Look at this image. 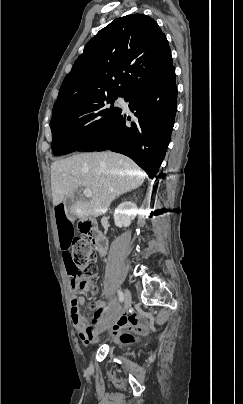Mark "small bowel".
<instances>
[{
	"mask_svg": "<svg viewBox=\"0 0 243 404\" xmlns=\"http://www.w3.org/2000/svg\"><path fill=\"white\" fill-rule=\"evenodd\" d=\"M54 213L60 246L62 249V258L68 274L72 276L71 285L74 288L76 286V283L73 280L74 266L72 263V254L69 250L73 240V226L71 221L67 218L65 208L62 204H58L55 207ZM83 303L84 299L82 297L73 296L71 300V316L80 339L85 344H88L98 332V328L102 322V313L105 309V305L102 302H97L91 305L95 314L94 319L88 323L79 309V306ZM113 324L116 332L129 330L143 334L148 330L146 322L132 313L126 315L120 314L115 318Z\"/></svg>",
	"mask_w": 243,
	"mask_h": 404,
	"instance_id": "1",
	"label": "small bowel"
}]
</instances>
